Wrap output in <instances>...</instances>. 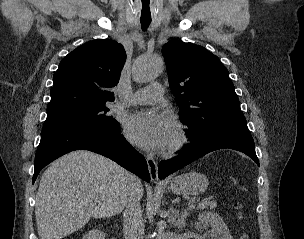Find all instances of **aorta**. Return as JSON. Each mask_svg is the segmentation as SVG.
Listing matches in <instances>:
<instances>
[{
  "instance_id": "aorta-1",
  "label": "aorta",
  "mask_w": 304,
  "mask_h": 239,
  "mask_svg": "<svg viewBox=\"0 0 304 239\" xmlns=\"http://www.w3.org/2000/svg\"><path fill=\"white\" fill-rule=\"evenodd\" d=\"M163 70V60L158 56L142 57L134 65L133 76L137 82L145 83L157 78ZM156 239H165L164 224H157Z\"/></svg>"
}]
</instances>
